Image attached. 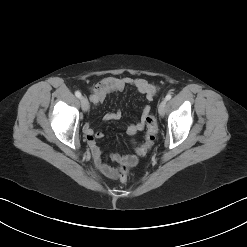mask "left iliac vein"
<instances>
[{
	"mask_svg": "<svg viewBox=\"0 0 247 247\" xmlns=\"http://www.w3.org/2000/svg\"><path fill=\"white\" fill-rule=\"evenodd\" d=\"M166 100H162L158 107V112L161 116L165 114L166 111Z\"/></svg>",
	"mask_w": 247,
	"mask_h": 247,
	"instance_id": "4c4485c4",
	"label": "left iliac vein"
}]
</instances>
